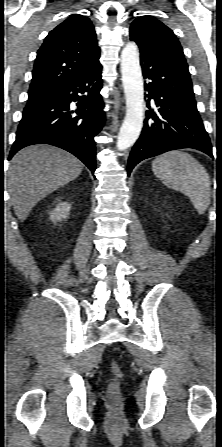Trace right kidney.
<instances>
[{"instance_id": "obj_1", "label": "right kidney", "mask_w": 222, "mask_h": 447, "mask_svg": "<svg viewBox=\"0 0 222 447\" xmlns=\"http://www.w3.org/2000/svg\"><path fill=\"white\" fill-rule=\"evenodd\" d=\"M71 209V204L67 202L59 203L51 212L50 219L53 223L62 221L63 219L68 218L69 212Z\"/></svg>"}]
</instances>
